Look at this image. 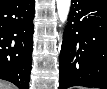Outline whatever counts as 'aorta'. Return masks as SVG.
Segmentation results:
<instances>
[{
    "label": "aorta",
    "instance_id": "obj_1",
    "mask_svg": "<svg viewBox=\"0 0 107 89\" xmlns=\"http://www.w3.org/2000/svg\"><path fill=\"white\" fill-rule=\"evenodd\" d=\"M58 17L61 23H65L68 19L71 0H56Z\"/></svg>",
    "mask_w": 107,
    "mask_h": 89
}]
</instances>
